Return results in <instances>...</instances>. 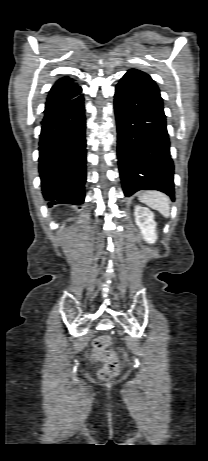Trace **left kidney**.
I'll return each instance as SVG.
<instances>
[{"instance_id":"obj_1","label":"left kidney","mask_w":208,"mask_h":461,"mask_svg":"<svg viewBox=\"0 0 208 461\" xmlns=\"http://www.w3.org/2000/svg\"><path fill=\"white\" fill-rule=\"evenodd\" d=\"M134 214L135 222L141 230L144 240L150 244L155 243L157 234L154 213L149 208L136 206Z\"/></svg>"}]
</instances>
